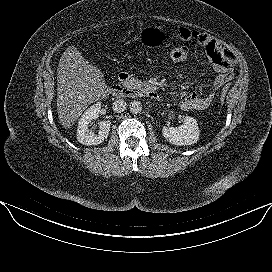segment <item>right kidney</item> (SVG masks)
Here are the masks:
<instances>
[{"instance_id": "ca27d5eb", "label": "right kidney", "mask_w": 272, "mask_h": 272, "mask_svg": "<svg viewBox=\"0 0 272 272\" xmlns=\"http://www.w3.org/2000/svg\"><path fill=\"white\" fill-rule=\"evenodd\" d=\"M101 102H97L88 108L80 118L77 128V140L83 145H98L107 139L110 131V121H101L99 123V132L95 134L89 130V124L92 120L99 117Z\"/></svg>"}]
</instances>
